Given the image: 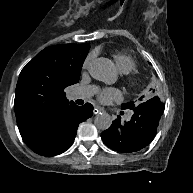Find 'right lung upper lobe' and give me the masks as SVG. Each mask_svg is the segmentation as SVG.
<instances>
[{"label":"right lung upper lobe","mask_w":193,"mask_h":193,"mask_svg":"<svg viewBox=\"0 0 193 193\" xmlns=\"http://www.w3.org/2000/svg\"><path fill=\"white\" fill-rule=\"evenodd\" d=\"M88 50V44L54 45L23 68L14 101L19 131L54 122L75 105L63 90L79 81Z\"/></svg>","instance_id":"1"}]
</instances>
